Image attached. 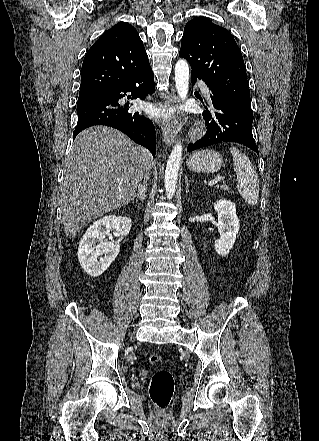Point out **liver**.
<instances>
[{
  "mask_svg": "<svg viewBox=\"0 0 319 441\" xmlns=\"http://www.w3.org/2000/svg\"><path fill=\"white\" fill-rule=\"evenodd\" d=\"M152 164L145 148L116 129L99 125L79 133L60 189L66 237L73 238L92 220L132 201Z\"/></svg>",
  "mask_w": 319,
  "mask_h": 441,
  "instance_id": "1",
  "label": "liver"
}]
</instances>
